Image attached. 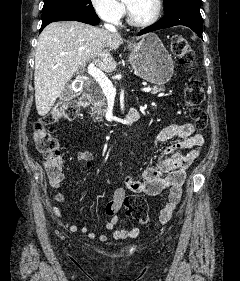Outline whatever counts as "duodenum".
<instances>
[{"label": "duodenum", "mask_w": 240, "mask_h": 281, "mask_svg": "<svg viewBox=\"0 0 240 281\" xmlns=\"http://www.w3.org/2000/svg\"><path fill=\"white\" fill-rule=\"evenodd\" d=\"M92 99L91 96L88 94L83 95L80 100L79 104L83 109L88 108L91 105ZM140 118V114L138 110L136 109H130L121 119L120 123L121 125H130L134 121L138 120Z\"/></svg>", "instance_id": "410a0bca"}]
</instances>
